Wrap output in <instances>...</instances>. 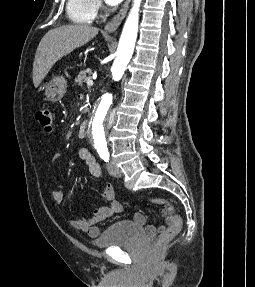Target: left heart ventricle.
Segmentation results:
<instances>
[{
	"mask_svg": "<svg viewBox=\"0 0 255 287\" xmlns=\"http://www.w3.org/2000/svg\"><path fill=\"white\" fill-rule=\"evenodd\" d=\"M114 48H125V47H114Z\"/></svg>",
	"mask_w": 255,
	"mask_h": 287,
	"instance_id": "left-heart-ventricle-1",
	"label": "left heart ventricle"
}]
</instances>
